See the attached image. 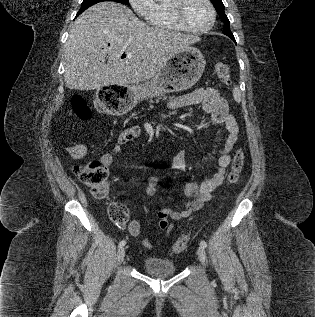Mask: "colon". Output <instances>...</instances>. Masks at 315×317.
<instances>
[{
  "instance_id": "colon-1",
  "label": "colon",
  "mask_w": 315,
  "mask_h": 317,
  "mask_svg": "<svg viewBox=\"0 0 315 317\" xmlns=\"http://www.w3.org/2000/svg\"><path fill=\"white\" fill-rule=\"evenodd\" d=\"M216 76L224 86L230 84V68L224 62H217L214 66ZM72 108L75 115L83 122H88L91 113L84 99L75 96L72 99ZM68 153L75 159L83 158L87 153V146L84 142H74L67 147ZM244 166V153L238 149L233 157L231 169L228 174V182L235 184L238 182L240 173ZM74 171L79 180L85 184L91 193L98 197L104 198L109 192V180L107 168L99 161H91L86 164L76 165ZM108 213L111 221L118 227H124L128 222L129 213L127 208L119 202H111L108 207ZM190 235H182L179 237L170 249L171 254H179L183 252L189 245Z\"/></svg>"
}]
</instances>
